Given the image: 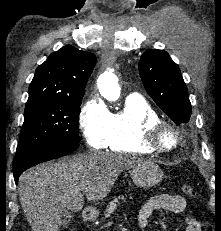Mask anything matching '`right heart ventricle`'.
<instances>
[{"instance_id":"obj_1","label":"right heart ventricle","mask_w":221,"mask_h":231,"mask_svg":"<svg viewBox=\"0 0 221 231\" xmlns=\"http://www.w3.org/2000/svg\"><path fill=\"white\" fill-rule=\"evenodd\" d=\"M159 119L156 111L140 96H128L122 108L111 114L105 148L125 153H152L143 143L144 124Z\"/></svg>"}]
</instances>
